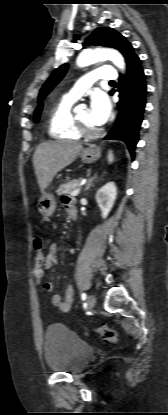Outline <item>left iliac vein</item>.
Masks as SVG:
<instances>
[{"instance_id": "4c4485c4", "label": "left iliac vein", "mask_w": 168, "mask_h": 415, "mask_svg": "<svg viewBox=\"0 0 168 415\" xmlns=\"http://www.w3.org/2000/svg\"><path fill=\"white\" fill-rule=\"evenodd\" d=\"M87 302H88V305L90 306V307H94V305H95V303H96V298H95V296L94 295H89L88 296V299H87Z\"/></svg>"}]
</instances>
